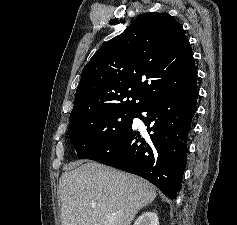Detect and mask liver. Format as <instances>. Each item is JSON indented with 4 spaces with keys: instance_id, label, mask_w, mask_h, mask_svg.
<instances>
[{
    "instance_id": "obj_1",
    "label": "liver",
    "mask_w": 237,
    "mask_h": 225,
    "mask_svg": "<svg viewBox=\"0 0 237 225\" xmlns=\"http://www.w3.org/2000/svg\"><path fill=\"white\" fill-rule=\"evenodd\" d=\"M59 194L62 225H130L157 195L146 180L97 162L64 172Z\"/></svg>"
}]
</instances>
